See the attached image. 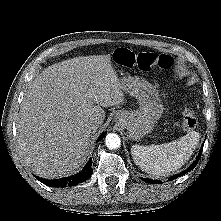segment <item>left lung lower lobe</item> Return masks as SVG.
<instances>
[{"label": "left lung lower lobe", "mask_w": 221, "mask_h": 221, "mask_svg": "<svg viewBox=\"0 0 221 221\" xmlns=\"http://www.w3.org/2000/svg\"><path fill=\"white\" fill-rule=\"evenodd\" d=\"M203 145H204V143H203ZM202 149H203V146H202V148H201V150H200V153H199V155H198V157H197V160H199L200 159V157H201V154H202ZM197 160L196 161H194V163L187 169V170H185V171H183V172H181L180 174H178V175H175V176H171L170 177V180H173V179H176V178H178V177H180V176H182V175H184L185 173H187V172H189V171H191L192 169H194L195 168V166L197 165ZM143 181H146L147 183H153V184H160L161 183V181L160 180H150V179H142Z\"/></svg>", "instance_id": "obj_1"}]
</instances>
